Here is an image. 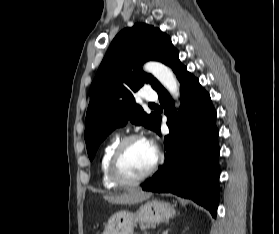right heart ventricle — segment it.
<instances>
[{
    "instance_id": "e07e8e85",
    "label": "right heart ventricle",
    "mask_w": 279,
    "mask_h": 234,
    "mask_svg": "<svg viewBox=\"0 0 279 234\" xmlns=\"http://www.w3.org/2000/svg\"><path fill=\"white\" fill-rule=\"evenodd\" d=\"M119 142V138H113L104 148L103 153L100 159V170L102 175V182L105 187L107 188H116V185L109 175V161L112 155L114 148L116 147L117 143Z\"/></svg>"
}]
</instances>
